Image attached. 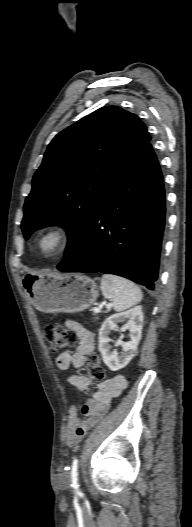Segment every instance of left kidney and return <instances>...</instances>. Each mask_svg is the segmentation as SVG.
I'll return each mask as SVG.
<instances>
[{"label":"left kidney","instance_id":"left-kidney-1","mask_svg":"<svg viewBox=\"0 0 192 527\" xmlns=\"http://www.w3.org/2000/svg\"><path fill=\"white\" fill-rule=\"evenodd\" d=\"M126 320L127 322L121 327V331L128 330L130 332V340L127 342L118 340L116 342L115 346H121L123 350V352L118 354L116 350H110L109 342L111 339L109 334L118 328V323ZM143 320L142 307L136 306L128 311L113 314L102 323L99 330L98 349L102 355L103 362L110 370L118 371L124 368L135 356L142 336Z\"/></svg>","mask_w":192,"mask_h":527}]
</instances>
